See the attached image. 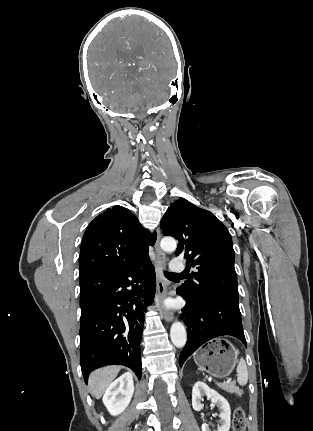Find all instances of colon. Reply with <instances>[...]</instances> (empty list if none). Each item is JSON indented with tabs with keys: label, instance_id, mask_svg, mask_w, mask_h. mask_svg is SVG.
<instances>
[{
	"label": "colon",
	"instance_id": "1",
	"mask_svg": "<svg viewBox=\"0 0 313 431\" xmlns=\"http://www.w3.org/2000/svg\"><path fill=\"white\" fill-rule=\"evenodd\" d=\"M232 427L233 431H245L246 416L243 408L238 407L234 411Z\"/></svg>",
	"mask_w": 313,
	"mask_h": 431
}]
</instances>
